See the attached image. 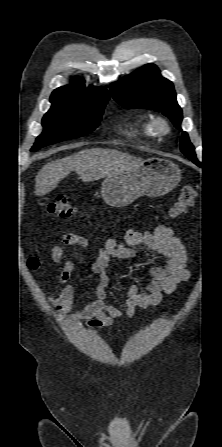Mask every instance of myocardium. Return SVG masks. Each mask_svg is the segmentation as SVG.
<instances>
[{
	"mask_svg": "<svg viewBox=\"0 0 222 447\" xmlns=\"http://www.w3.org/2000/svg\"><path fill=\"white\" fill-rule=\"evenodd\" d=\"M151 126L154 132L158 134H167L170 131L169 121L162 116H156L151 120Z\"/></svg>",
	"mask_w": 222,
	"mask_h": 447,
	"instance_id": "myocardium-1",
	"label": "myocardium"
}]
</instances>
